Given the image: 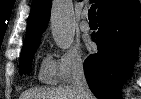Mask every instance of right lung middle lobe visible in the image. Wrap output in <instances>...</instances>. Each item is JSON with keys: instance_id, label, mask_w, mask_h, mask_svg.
I'll return each mask as SVG.
<instances>
[{"instance_id": "dd1d6c3e", "label": "right lung middle lobe", "mask_w": 141, "mask_h": 99, "mask_svg": "<svg viewBox=\"0 0 141 99\" xmlns=\"http://www.w3.org/2000/svg\"><path fill=\"white\" fill-rule=\"evenodd\" d=\"M39 43L40 41L29 43V44H25L22 47L21 56H20V66H19L20 75L30 73L33 54L35 53Z\"/></svg>"}]
</instances>
